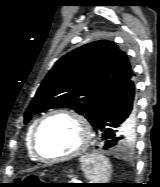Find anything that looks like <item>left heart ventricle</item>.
Segmentation results:
<instances>
[{
    "mask_svg": "<svg viewBox=\"0 0 160 187\" xmlns=\"http://www.w3.org/2000/svg\"><path fill=\"white\" fill-rule=\"evenodd\" d=\"M79 122L67 115L49 118L38 135V148L45 157H57L75 150L83 141Z\"/></svg>",
    "mask_w": 160,
    "mask_h": 187,
    "instance_id": "1",
    "label": "left heart ventricle"
}]
</instances>
